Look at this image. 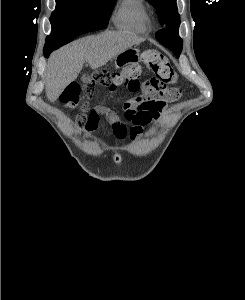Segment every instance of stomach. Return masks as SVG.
Instances as JSON below:
<instances>
[{"label":"stomach","mask_w":245,"mask_h":300,"mask_svg":"<svg viewBox=\"0 0 245 300\" xmlns=\"http://www.w3.org/2000/svg\"><path fill=\"white\" fill-rule=\"evenodd\" d=\"M139 49L135 47H130L123 52L119 53L115 57V67L116 68H123L128 64L137 63L140 60Z\"/></svg>","instance_id":"1"}]
</instances>
